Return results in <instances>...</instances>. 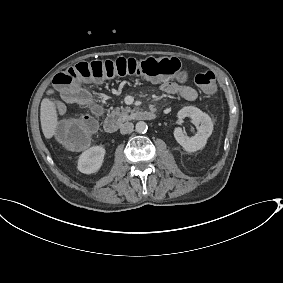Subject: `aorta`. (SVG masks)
<instances>
[{
    "label": "aorta",
    "instance_id": "aorta-1",
    "mask_svg": "<svg viewBox=\"0 0 283 283\" xmlns=\"http://www.w3.org/2000/svg\"><path fill=\"white\" fill-rule=\"evenodd\" d=\"M136 132L145 133L147 131V124L144 121H139L135 126Z\"/></svg>",
    "mask_w": 283,
    "mask_h": 283
}]
</instances>
